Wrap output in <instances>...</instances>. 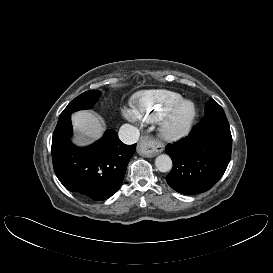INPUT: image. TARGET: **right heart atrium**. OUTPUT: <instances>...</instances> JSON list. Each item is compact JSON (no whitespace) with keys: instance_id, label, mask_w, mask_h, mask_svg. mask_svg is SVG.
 <instances>
[{"instance_id":"right-heart-atrium-1","label":"right heart atrium","mask_w":273,"mask_h":273,"mask_svg":"<svg viewBox=\"0 0 273 273\" xmlns=\"http://www.w3.org/2000/svg\"><path fill=\"white\" fill-rule=\"evenodd\" d=\"M123 114L126 117V119L133 123H139L141 120L140 116L138 115L134 108H125L123 110Z\"/></svg>"}]
</instances>
